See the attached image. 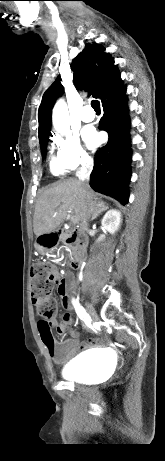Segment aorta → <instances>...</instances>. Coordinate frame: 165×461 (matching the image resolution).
Wrapping results in <instances>:
<instances>
[{"instance_id":"obj_1","label":"aorta","mask_w":165,"mask_h":461,"mask_svg":"<svg viewBox=\"0 0 165 461\" xmlns=\"http://www.w3.org/2000/svg\"><path fill=\"white\" fill-rule=\"evenodd\" d=\"M52 123L57 132L65 134L69 131V113L64 100L57 101L52 112Z\"/></svg>"}]
</instances>
